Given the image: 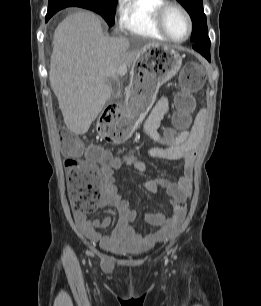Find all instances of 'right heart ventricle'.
Instances as JSON below:
<instances>
[{
    "label": "right heart ventricle",
    "instance_id": "right-heart-ventricle-1",
    "mask_svg": "<svg viewBox=\"0 0 261 306\" xmlns=\"http://www.w3.org/2000/svg\"><path fill=\"white\" fill-rule=\"evenodd\" d=\"M165 0H123L120 28L123 32L154 40H167L155 23V14Z\"/></svg>",
    "mask_w": 261,
    "mask_h": 306
}]
</instances>
